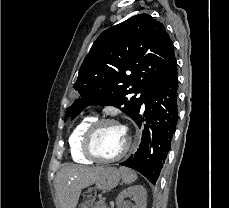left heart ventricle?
<instances>
[{"label":"left heart ventricle","mask_w":229,"mask_h":208,"mask_svg":"<svg viewBox=\"0 0 229 208\" xmlns=\"http://www.w3.org/2000/svg\"><path fill=\"white\" fill-rule=\"evenodd\" d=\"M128 143L126 132L114 124H106L98 131L96 139H92V152L97 157H117Z\"/></svg>","instance_id":"obj_1"}]
</instances>
